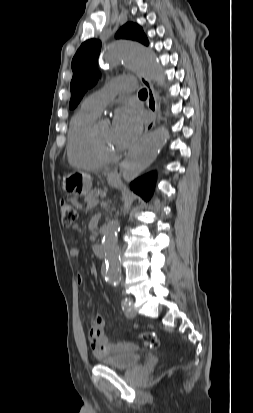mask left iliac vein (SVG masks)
<instances>
[{"mask_svg":"<svg viewBox=\"0 0 253 413\" xmlns=\"http://www.w3.org/2000/svg\"><path fill=\"white\" fill-rule=\"evenodd\" d=\"M124 312L126 317L128 318H133L136 316V310L134 308L132 300H129V305L127 307H124Z\"/></svg>","mask_w":253,"mask_h":413,"instance_id":"left-iliac-vein-1","label":"left iliac vein"}]
</instances>
